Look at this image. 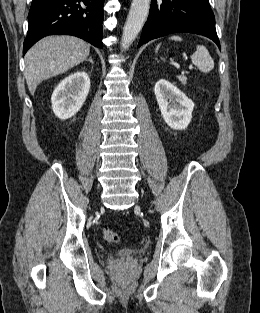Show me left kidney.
I'll list each match as a JSON object with an SVG mask.
<instances>
[{"instance_id": "1", "label": "left kidney", "mask_w": 260, "mask_h": 313, "mask_svg": "<svg viewBox=\"0 0 260 313\" xmlns=\"http://www.w3.org/2000/svg\"><path fill=\"white\" fill-rule=\"evenodd\" d=\"M154 92L166 124L175 130L186 129L192 119L193 101L166 79L157 81Z\"/></svg>"}]
</instances>
